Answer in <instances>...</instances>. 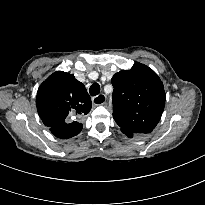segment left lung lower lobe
Wrapping results in <instances>:
<instances>
[{"label": "left lung lower lobe", "instance_id": "obj_1", "mask_svg": "<svg viewBox=\"0 0 205 205\" xmlns=\"http://www.w3.org/2000/svg\"><path fill=\"white\" fill-rule=\"evenodd\" d=\"M122 132H123L125 135H127L129 138H132L133 135L135 134V133L128 132V131H124V130H122Z\"/></svg>", "mask_w": 205, "mask_h": 205}]
</instances>
